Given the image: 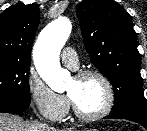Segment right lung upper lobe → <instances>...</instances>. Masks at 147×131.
I'll return each mask as SVG.
<instances>
[{
	"instance_id": "right-lung-upper-lobe-1",
	"label": "right lung upper lobe",
	"mask_w": 147,
	"mask_h": 131,
	"mask_svg": "<svg viewBox=\"0 0 147 131\" xmlns=\"http://www.w3.org/2000/svg\"><path fill=\"white\" fill-rule=\"evenodd\" d=\"M39 21L40 10L35 3L6 9L0 15V60L30 63Z\"/></svg>"
}]
</instances>
